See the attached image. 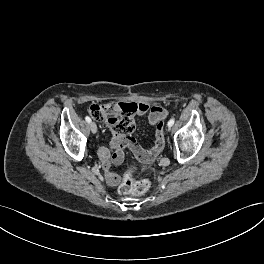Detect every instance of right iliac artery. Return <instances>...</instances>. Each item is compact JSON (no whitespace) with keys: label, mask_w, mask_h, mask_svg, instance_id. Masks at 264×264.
I'll return each instance as SVG.
<instances>
[{"label":"right iliac artery","mask_w":264,"mask_h":264,"mask_svg":"<svg viewBox=\"0 0 264 264\" xmlns=\"http://www.w3.org/2000/svg\"><path fill=\"white\" fill-rule=\"evenodd\" d=\"M85 120H86V122H88V123L91 122V118H90L89 116H86V117H85Z\"/></svg>","instance_id":"1"}]
</instances>
